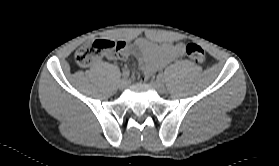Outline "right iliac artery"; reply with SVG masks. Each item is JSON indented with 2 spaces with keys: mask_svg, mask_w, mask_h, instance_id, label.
Listing matches in <instances>:
<instances>
[{
  "mask_svg": "<svg viewBox=\"0 0 279 166\" xmlns=\"http://www.w3.org/2000/svg\"><path fill=\"white\" fill-rule=\"evenodd\" d=\"M129 75H130L129 70H124L123 73H122V77L125 78V79L128 78Z\"/></svg>",
  "mask_w": 279,
  "mask_h": 166,
  "instance_id": "82829eb1",
  "label": "right iliac artery"
}]
</instances>
